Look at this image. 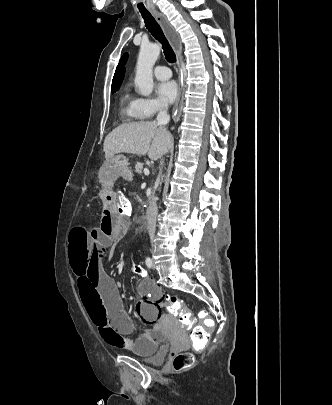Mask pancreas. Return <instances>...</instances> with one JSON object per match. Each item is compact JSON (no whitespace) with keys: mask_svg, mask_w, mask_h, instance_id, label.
<instances>
[{"mask_svg":"<svg viewBox=\"0 0 332 405\" xmlns=\"http://www.w3.org/2000/svg\"><path fill=\"white\" fill-rule=\"evenodd\" d=\"M143 163L138 162L135 166V172L141 174L143 171Z\"/></svg>","mask_w":332,"mask_h":405,"instance_id":"pancreas-1","label":"pancreas"}]
</instances>
